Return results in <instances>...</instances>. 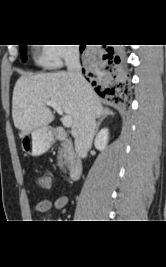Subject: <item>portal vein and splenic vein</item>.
Returning <instances> with one entry per match:
<instances>
[{
    "mask_svg": "<svg viewBox=\"0 0 166 267\" xmlns=\"http://www.w3.org/2000/svg\"><path fill=\"white\" fill-rule=\"evenodd\" d=\"M45 105L52 107L54 110H56L60 115H62V123L64 127H71L72 126V117L70 115H64L63 114V109L61 108L60 105L53 101H47L45 102Z\"/></svg>",
    "mask_w": 166,
    "mask_h": 267,
    "instance_id": "18ae733b",
    "label": "portal vein and splenic vein"
}]
</instances>
